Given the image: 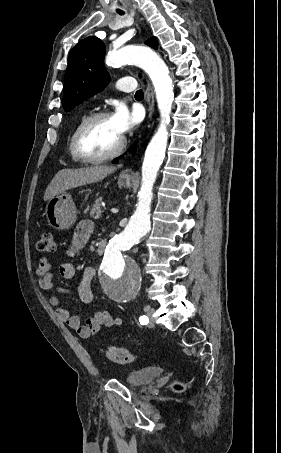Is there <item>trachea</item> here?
<instances>
[{
  "label": "trachea",
  "instance_id": "trachea-1",
  "mask_svg": "<svg viewBox=\"0 0 281 453\" xmlns=\"http://www.w3.org/2000/svg\"><path fill=\"white\" fill-rule=\"evenodd\" d=\"M120 15H123V13H120ZM135 97H144V93L142 90H138L136 93H135Z\"/></svg>",
  "mask_w": 281,
  "mask_h": 453
}]
</instances>
